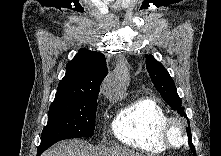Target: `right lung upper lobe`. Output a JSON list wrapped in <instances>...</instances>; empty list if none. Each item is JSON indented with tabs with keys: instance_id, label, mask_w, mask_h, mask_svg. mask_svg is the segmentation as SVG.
Segmentation results:
<instances>
[{
	"instance_id": "1",
	"label": "right lung upper lobe",
	"mask_w": 221,
	"mask_h": 156,
	"mask_svg": "<svg viewBox=\"0 0 221 156\" xmlns=\"http://www.w3.org/2000/svg\"><path fill=\"white\" fill-rule=\"evenodd\" d=\"M107 73L103 54L80 49L66 66V74L59 82L54 102L98 96L100 84Z\"/></svg>"
}]
</instances>
